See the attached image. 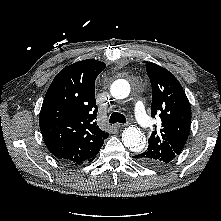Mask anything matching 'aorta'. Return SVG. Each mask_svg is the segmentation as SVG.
<instances>
[{"instance_id": "1", "label": "aorta", "mask_w": 221, "mask_h": 221, "mask_svg": "<svg viewBox=\"0 0 221 221\" xmlns=\"http://www.w3.org/2000/svg\"><path fill=\"white\" fill-rule=\"evenodd\" d=\"M110 92L116 99H124L130 93V85L126 80H116L112 83ZM122 142L127 148L134 152H139L145 147V139L142 132L133 125L123 130Z\"/></svg>"}]
</instances>
